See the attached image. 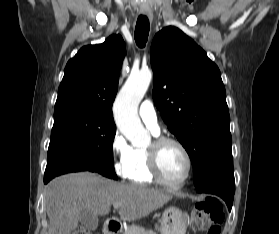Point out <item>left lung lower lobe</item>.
<instances>
[{"mask_svg":"<svg viewBox=\"0 0 279 234\" xmlns=\"http://www.w3.org/2000/svg\"><path fill=\"white\" fill-rule=\"evenodd\" d=\"M195 188L199 193H211L220 196L226 202L228 210L231 211L235 192L234 177H214L195 186Z\"/></svg>","mask_w":279,"mask_h":234,"instance_id":"1","label":"left lung lower lobe"}]
</instances>
